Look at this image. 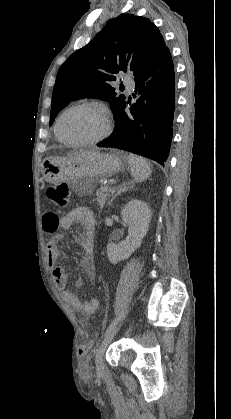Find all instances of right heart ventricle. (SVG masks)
Returning <instances> with one entry per match:
<instances>
[{
    "label": "right heart ventricle",
    "instance_id": "right-heart-ventricle-1",
    "mask_svg": "<svg viewBox=\"0 0 231 419\" xmlns=\"http://www.w3.org/2000/svg\"><path fill=\"white\" fill-rule=\"evenodd\" d=\"M55 135H56V137H57V139L59 140V141H62L60 138H59V136L57 135V132H56V127H55ZM63 142V141H62Z\"/></svg>",
    "mask_w": 231,
    "mask_h": 419
}]
</instances>
